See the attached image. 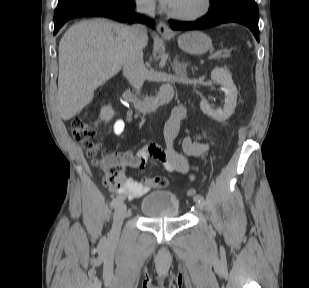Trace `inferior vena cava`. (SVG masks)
Masks as SVG:
<instances>
[{
  "instance_id": "1",
  "label": "inferior vena cava",
  "mask_w": 309,
  "mask_h": 288,
  "mask_svg": "<svg viewBox=\"0 0 309 288\" xmlns=\"http://www.w3.org/2000/svg\"><path fill=\"white\" fill-rule=\"evenodd\" d=\"M136 11L150 18L155 16L154 0H137ZM147 31L143 25L129 29V45L123 55V71L131 86L139 92L145 81L143 62V40Z\"/></svg>"
}]
</instances>
